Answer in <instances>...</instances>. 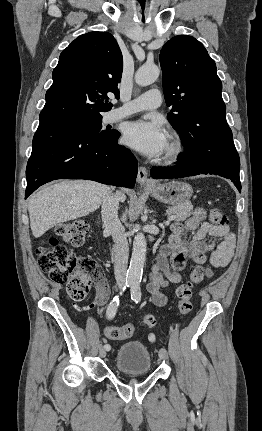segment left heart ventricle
Segmentation results:
<instances>
[{
	"label": "left heart ventricle",
	"instance_id": "obj_1",
	"mask_svg": "<svg viewBox=\"0 0 262 431\" xmlns=\"http://www.w3.org/2000/svg\"><path fill=\"white\" fill-rule=\"evenodd\" d=\"M168 147H169V142H168V144H167V146H166V148H165L164 152L168 149Z\"/></svg>",
	"mask_w": 262,
	"mask_h": 431
}]
</instances>
